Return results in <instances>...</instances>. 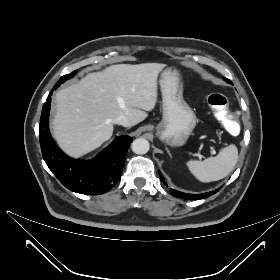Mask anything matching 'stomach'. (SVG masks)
<instances>
[{
	"label": "stomach",
	"instance_id": "stomach-1",
	"mask_svg": "<svg viewBox=\"0 0 280 280\" xmlns=\"http://www.w3.org/2000/svg\"><path fill=\"white\" fill-rule=\"evenodd\" d=\"M163 117L156 127L159 139L172 147L186 143L198 121L192 108L183 98L180 69L166 68L160 78Z\"/></svg>",
	"mask_w": 280,
	"mask_h": 280
}]
</instances>
